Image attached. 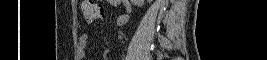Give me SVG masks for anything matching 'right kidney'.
Instances as JSON below:
<instances>
[{
	"label": "right kidney",
	"instance_id": "right-kidney-1",
	"mask_svg": "<svg viewBox=\"0 0 267 60\" xmlns=\"http://www.w3.org/2000/svg\"><path fill=\"white\" fill-rule=\"evenodd\" d=\"M131 2L137 6H142L144 4V0H131ZM148 2H151V0H148Z\"/></svg>",
	"mask_w": 267,
	"mask_h": 60
}]
</instances>
